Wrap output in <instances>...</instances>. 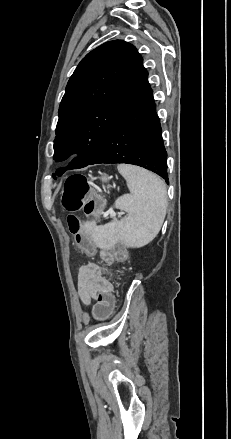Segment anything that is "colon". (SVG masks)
<instances>
[{
	"instance_id": "5ec220e1",
	"label": "colon",
	"mask_w": 231,
	"mask_h": 439,
	"mask_svg": "<svg viewBox=\"0 0 231 439\" xmlns=\"http://www.w3.org/2000/svg\"><path fill=\"white\" fill-rule=\"evenodd\" d=\"M89 185L87 178L83 175H73L69 177L63 187L61 202L63 207L70 212L67 223L69 231L74 235L76 244L87 254L88 259H97L98 252L95 250L92 239L89 234L82 231L81 221L74 212L83 209L87 216H93L101 221V209L99 202L91 197L87 199ZM127 257L126 252L121 249L118 258L124 260ZM96 302L91 314L96 323L109 321L116 311L117 294L109 289H102L101 293L96 294Z\"/></svg>"
}]
</instances>
